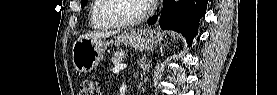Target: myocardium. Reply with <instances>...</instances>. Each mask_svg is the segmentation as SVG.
Segmentation results:
<instances>
[{"label":"myocardium","mask_w":277,"mask_h":95,"mask_svg":"<svg viewBox=\"0 0 277 95\" xmlns=\"http://www.w3.org/2000/svg\"><path fill=\"white\" fill-rule=\"evenodd\" d=\"M112 1L113 0H103L102 5L98 9L97 15L101 20L113 26H128V25L138 24L143 20H145L150 13V7L145 5L143 12L135 18L125 19V18L116 17L113 15H110L107 11Z\"/></svg>","instance_id":"1"}]
</instances>
